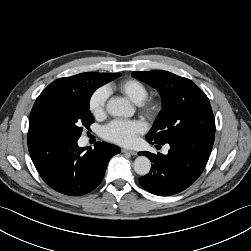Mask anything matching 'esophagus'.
<instances>
[{
	"mask_svg": "<svg viewBox=\"0 0 251 251\" xmlns=\"http://www.w3.org/2000/svg\"><path fill=\"white\" fill-rule=\"evenodd\" d=\"M122 153H128L131 155H137V152L134 150H129V149H122Z\"/></svg>",
	"mask_w": 251,
	"mask_h": 251,
	"instance_id": "obj_1",
	"label": "esophagus"
}]
</instances>
